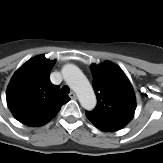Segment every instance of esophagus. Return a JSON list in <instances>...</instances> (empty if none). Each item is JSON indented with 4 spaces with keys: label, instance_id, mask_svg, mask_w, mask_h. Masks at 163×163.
<instances>
[{
    "label": "esophagus",
    "instance_id": "esophagus-1",
    "mask_svg": "<svg viewBox=\"0 0 163 163\" xmlns=\"http://www.w3.org/2000/svg\"><path fill=\"white\" fill-rule=\"evenodd\" d=\"M69 97L71 99H76L77 98V95H76V93L74 91H72V92H70Z\"/></svg>",
    "mask_w": 163,
    "mask_h": 163
}]
</instances>
